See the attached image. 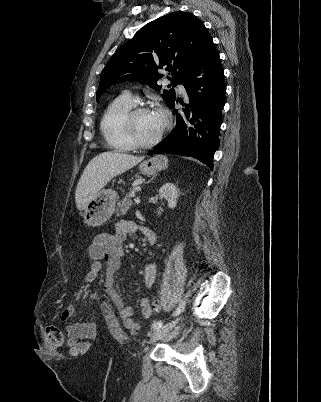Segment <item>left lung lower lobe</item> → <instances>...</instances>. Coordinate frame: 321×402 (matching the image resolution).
Instances as JSON below:
<instances>
[{"instance_id": "obj_1", "label": "left lung lower lobe", "mask_w": 321, "mask_h": 402, "mask_svg": "<svg viewBox=\"0 0 321 402\" xmlns=\"http://www.w3.org/2000/svg\"><path fill=\"white\" fill-rule=\"evenodd\" d=\"M188 101L176 111L175 129L148 154L173 153L192 156L213 169L214 153L219 147L222 109L226 84L220 57L210 38L199 56L182 77ZM175 100L169 105L174 108ZM178 102V100H177Z\"/></svg>"}]
</instances>
